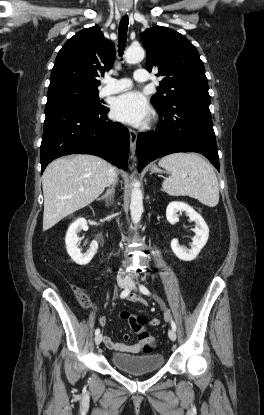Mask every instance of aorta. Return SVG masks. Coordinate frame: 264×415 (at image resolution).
Returning a JSON list of instances; mask_svg holds the SVG:
<instances>
[{
	"instance_id": "762f6f07",
	"label": "aorta",
	"mask_w": 264,
	"mask_h": 415,
	"mask_svg": "<svg viewBox=\"0 0 264 415\" xmlns=\"http://www.w3.org/2000/svg\"><path fill=\"white\" fill-rule=\"evenodd\" d=\"M145 51L140 46H131L125 53V59L127 63L134 64L144 59ZM130 212L132 221L137 224L143 212V194L140 189V183L134 181L132 184Z\"/></svg>"
}]
</instances>
